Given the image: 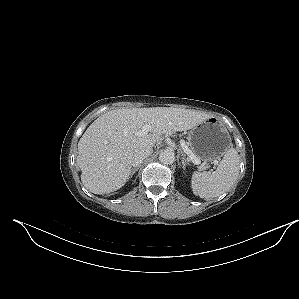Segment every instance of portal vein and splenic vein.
Returning a JSON list of instances; mask_svg holds the SVG:
<instances>
[{
	"instance_id": "18ae733b",
	"label": "portal vein and splenic vein",
	"mask_w": 299,
	"mask_h": 299,
	"mask_svg": "<svg viewBox=\"0 0 299 299\" xmlns=\"http://www.w3.org/2000/svg\"><path fill=\"white\" fill-rule=\"evenodd\" d=\"M151 126L150 125H144L141 130L138 131V135L142 136L150 132ZM182 149L187 154L189 160H191L194 164H200V160L191 152V150L185 145V143H182Z\"/></svg>"
}]
</instances>
